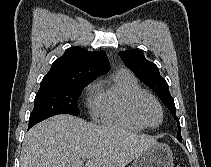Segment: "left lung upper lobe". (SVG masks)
Here are the masks:
<instances>
[{"mask_svg":"<svg viewBox=\"0 0 211 167\" xmlns=\"http://www.w3.org/2000/svg\"><path fill=\"white\" fill-rule=\"evenodd\" d=\"M124 63L134 72V74L148 87H150L159 98L163 101L166 107L170 110L173 117L177 121L179 127L177 139L182 140L180 134V123L176 117V107L174 100L169 92V87L164 78L161 77L158 67L145 59L144 53L141 50H127L119 52Z\"/></svg>","mask_w":211,"mask_h":167,"instance_id":"obj_1","label":"left lung upper lobe"}]
</instances>
